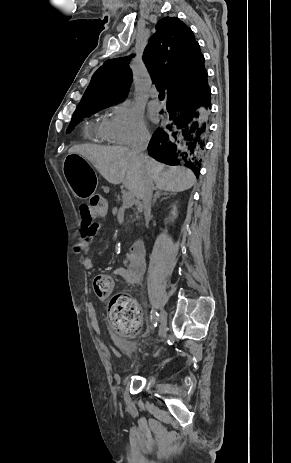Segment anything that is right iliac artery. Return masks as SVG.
Segmentation results:
<instances>
[{"mask_svg":"<svg viewBox=\"0 0 291 463\" xmlns=\"http://www.w3.org/2000/svg\"><path fill=\"white\" fill-rule=\"evenodd\" d=\"M158 316L159 314L157 312H151V321L154 326H157Z\"/></svg>","mask_w":291,"mask_h":463,"instance_id":"82829eb1","label":"right iliac artery"}]
</instances>
